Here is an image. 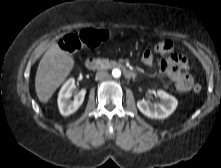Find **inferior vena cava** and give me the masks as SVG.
I'll use <instances>...</instances> for the list:
<instances>
[{"label":"inferior vena cava","instance_id":"inferior-vena-cava-1","mask_svg":"<svg viewBox=\"0 0 221 168\" xmlns=\"http://www.w3.org/2000/svg\"><path fill=\"white\" fill-rule=\"evenodd\" d=\"M109 77V74L107 71L105 70H99L97 73H96V79L97 80H105Z\"/></svg>","mask_w":221,"mask_h":168}]
</instances>
